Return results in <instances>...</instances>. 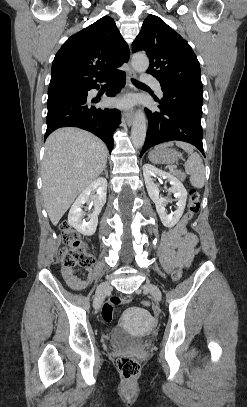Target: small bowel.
Instances as JSON below:
<instances>
[{
  "mask_svg": "<svg viewBox=\"0 0 247 407\" xmlns=\"http://www.w3.org/2000/svg\"><path fill=\"white\" fill-rule=\"evenodd\" d=\"M185 216L171 229L164 231L159 248L160 261L164 270L170 273L176 267H187L193 258V249L197 243V237L185 231ZM86 279L75 276L73 269H62V275L68 286L75 290H82L88 286L93 279L94 273L87 269Z\"/></svg>",
  "mask_w": 247,
  "mask_h": 407,
  "instance_id": "obj_1",
  "label": "small bowel"
}]
</instances>
